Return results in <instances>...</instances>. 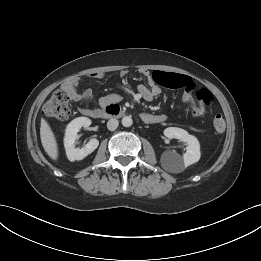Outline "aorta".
<instances>
[{"label":"aorta","mask_w":261,"mask_h":261,"mask_svg":"<svg viewBox=\"0 0 261 261\" xmlns=\"http://www.w3.org/2000/svg\"><path fill=\"white\" fill-rule=\"evenodd\" d=\"M121 122L124 127H130L133 124V120L130 116L123 117Z\"/></svg>","instance_id":"aorta-1"}]
</instances>
